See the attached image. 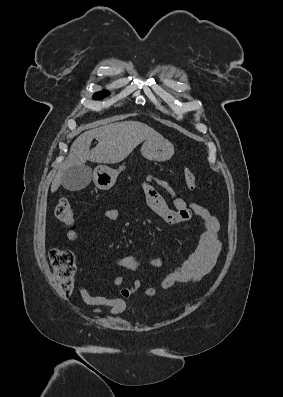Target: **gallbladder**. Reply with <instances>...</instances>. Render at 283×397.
<instances>
[{
    "label": "gallbladder",
    "mask_w": 283,
    "mask_h": 397,
    "mask_svg": "<svg viewBox=\"0 0 283 397\" xmlns=\"http://www.w3.org/2000/svg\"><path fill=\"white\" fill-rule=\"evenodd\" d=\"M92 170L86 165H76L64 171L61 179L63 187L69 191H79L90 183Z\"/></svg>",
    "instance_id": "gallbladder-1"
}]
</instances>
